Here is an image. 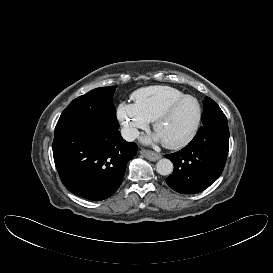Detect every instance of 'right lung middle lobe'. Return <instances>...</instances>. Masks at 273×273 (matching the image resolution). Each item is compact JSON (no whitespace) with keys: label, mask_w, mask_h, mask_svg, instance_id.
<instances>
[{"label":"right lung middle lobe","mask_w":273,"mask_h":273,"mask_svg":"<svg viewBox=\"0 0 273 273\" xmlns=\"http://www.w3.org/2000/svg\"><path fill=\"white\" fill-rule=\"evenodd\" d=\"M115 86L91 90L74 99L62 112L55 131L74 125H94L106 129H118L116 109L113 106Z\"/></svg>","instance_id":"dd1d6c3e"}]
</instances>
